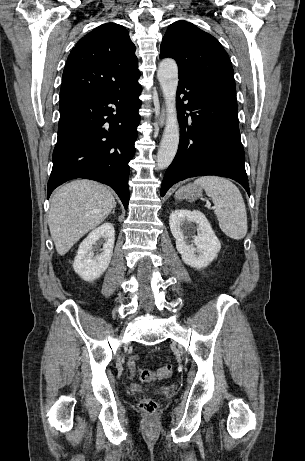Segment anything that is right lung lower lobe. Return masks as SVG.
<instances>
[{"instance_id":"right-lung-lower-lobe-1","label":"right lung lower lobe","mask_w":305,"mask_h":461,"mask_svg":"<svg viewBox=\"0 0 305 461\" xmlns=\"http://www.w3.org/2000/svg\"><path fill=\"white\" fill-rule=\"evenodd\" d=\"M141 90L135 82L109 94L60 103L48 198L64 182L84 178L112 187L127 209Z\"/></svg>"}]
</instances>
